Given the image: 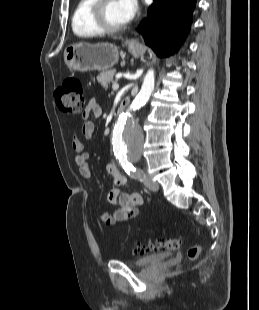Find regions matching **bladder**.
Segmentation results:
<instances>
[{"label":"bladder","instance_id":"bladder-1","mask_svg":"<svg viewBox=\"0 0 259 310\" xmlns=\"http://www.w3.org/2000/svg\"><path fill=\"white\" fill-rule=\"evenodd\" d=\"M173 255L171 252H164V253H156V254H150L145 257L136 259L131 262L132 267L141 268L146 267L151 264H155L161 261H164L168 258H170Z\"/></svg>","mask_w":259,"mask_h":310}]
</instances>
